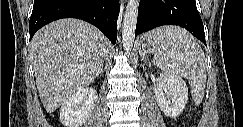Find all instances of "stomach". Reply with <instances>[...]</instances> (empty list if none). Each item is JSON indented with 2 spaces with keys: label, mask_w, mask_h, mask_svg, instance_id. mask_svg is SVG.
I'll return each mask as SVG.
<instances>
[{
  "label": "stomach",
  "mask_w": 243,
  "mask_h": 127,
  "mask_svg": "<svg viewBox=\"0 0 243 127\" xmlns=\"http://www.w3.org/2000/svg\"><path fill=\"white\" fill-rule=\"evenodd\" d=\"M157 30L152 31L151 33L146 34L140 43L142 53H150L154 56L158 55L162 50V43L156 38Z\"/></svg>",
  "instance_id": "0dacf381"
}]
</instances>
